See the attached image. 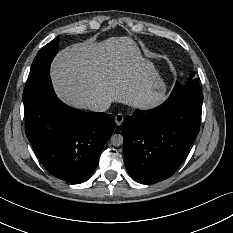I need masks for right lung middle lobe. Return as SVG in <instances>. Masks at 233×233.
<instances>
[{
	"instance_id": "dd1d6c3e",
	"label": "right lung middle lobe",
	"mask_w": 233,
	"mask_h": 233,
	"mask_svg": "<svg viewBox=\"0 0 233 233\" xmlns=\"http://www.w3.org/2000/svg\"><path fill=\"white\" fill-rule=\"evenodd\" d=\"M59 38H55L44 46L34 58L31 72L24 89V97H28L50 78V64L57 53Z\"/></svg>"
}]
</instances>
